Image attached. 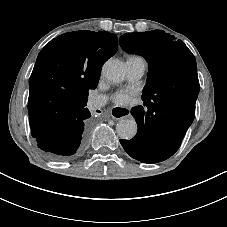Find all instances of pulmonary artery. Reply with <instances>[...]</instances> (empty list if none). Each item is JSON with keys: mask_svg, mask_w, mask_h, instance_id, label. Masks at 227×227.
Instances as JSON below:
<instances>
[{"mask_svg": "<svg viewBox=\"0 0 227 227\" xmlns=\"http://www.w3.org/2000/svg\"><path fill=\"white\" fill-rule=\"evenodd\" d=\"M127 79L131 82L139 80L145 73L146 62L141 59L129 58L126 61ZM109 98L107 95H97L90 99V108L99 109L103 107Z\"/></svg>", "mask_w": 227, "mask_h": 227, "instance_id": "e3ab8cb5", "label": "pulmonary artery"}]
</instances>
